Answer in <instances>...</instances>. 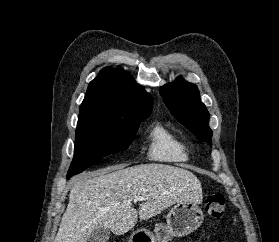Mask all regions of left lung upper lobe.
Instances as JSON below:
<instances>
[{
    "label": "left lung upper lobe",
    "mask_w": 279,
    "mask_h": 242,
    "mask_svg": "<svg viewBox=\"0 0 279 242\" xmlns=\"http://www.w3.org/2000/svg\"><path fill=\"white\" fill-rule=\"evenodd\" d=\"M160 94L171 114L201 141L211 145L210 114L200 101L197 86L178 77L173 83L160 87Z\"/></svg>",
    "instance_id": "left-lung-upper-lobe-1"
}]
</instances>
